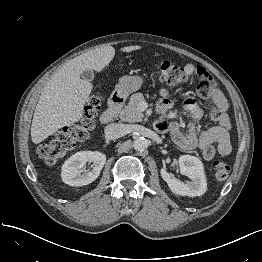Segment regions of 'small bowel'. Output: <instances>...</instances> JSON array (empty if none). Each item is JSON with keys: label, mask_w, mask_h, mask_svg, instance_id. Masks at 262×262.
Listing matches in <instances>:
<instances>
[{"label": "small bowel", "mask_w": 262, "mask_h": 262, "mask_svg": "<svg viewBox=\"0 0 262 262\" xmlns=\"http://www.w3.org/2000/svg\"><path fill=\"white\" fill-rule=\"evenodd\" d=\"M184 69L189 76L198 75V94L201 98L211 102L210 118L218 125L206 130L201 129L199 123L203 111L194 99L189 98L184 104L188 112V131L184 133L179 122L171 121L175 117V113L170 111L172 106V101L169 98L170 89L164 87L160 91L162 99L158 104L160 116L156 126L161 132H169L172 139L182 148H198L203 159L211 160L217 151L228 153L231 150L229 140L231 123L227 115L228 102L213 82L211 75L203 67L189 63L184 66Z\"/></svg>", "instance_id": "c3829d8e"}]
</instances>
